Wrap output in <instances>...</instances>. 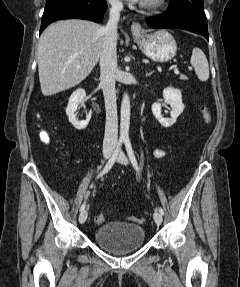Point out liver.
Here are the masks:
<instances>
[{"label":"liver","instance_id":"obj_1","mask_svg":"<svg viewBox=\"0 0 240 287\" xmlns=\"http://www.w3.org/2000/svg\"><path fill=\"white\" fill-rule=\"evenodd\" d=\"M102 46V26L97 23L70 19L48 26L37 52L42 94L54 95L82 82L97 64Z\"/></svg>","mask_w":240,"mask_h":287}]
</instances>
